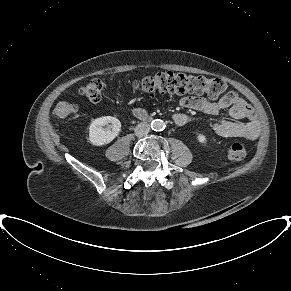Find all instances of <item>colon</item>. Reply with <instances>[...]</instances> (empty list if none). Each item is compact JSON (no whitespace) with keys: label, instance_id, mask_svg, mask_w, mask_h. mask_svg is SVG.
<instances>
[{"label":"colon","instance_id":"1","mask_svg":"<svg viewBox=\"0 0 291 291\" xmlns=\"http://www.w3.org/2000/svg\"><path fill=\"white\" fill-rule=\"evenodd\" d=\"M134 89L149 94H207L210 98H218L226 91V84L218 79L205 75H191L181 72L163 71L151 76L135 79ZM105 89L100 79H92L82 85L79 94L91 102H98ZM76 111V106L69 102H60L54 109V117L65 119ZM247 155L241 143H234L227 149V157L232 161H241Z\"/></svg>","mask_w":291,"mask_h":291}]
</instances>
